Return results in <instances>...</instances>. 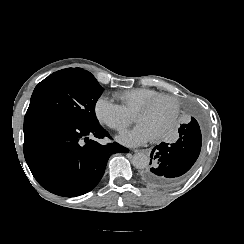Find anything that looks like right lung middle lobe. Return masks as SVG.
Here are the masks:
<instances>
[{
    "instance_id": "1",
    "label": "right lung middle lobe",
    "mask_w": 244,
    "mask_h": 244,
    "mask_svg": "<svg viewBox=\"0 0 244 244\" xmlns=\"http://www.w3.org/2000/svg\"><path fill=\"white\" fill-rule=\"evenodd\" d=\"M103 88L81 68L59 70L34 89L27 113H47L85 126L99 124L95 104Z\"/></svg>"
}]
</instances>
